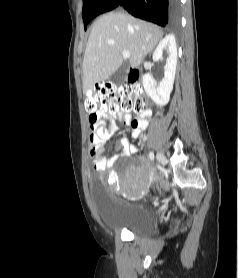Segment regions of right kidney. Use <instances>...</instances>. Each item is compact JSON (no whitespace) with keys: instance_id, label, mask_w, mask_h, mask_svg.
I'll return each mask as SVG.
<instances>
[{"instance_id":"ca27d5eb","label":"right kidney","mask_w":238,"mask_h":278,"mask_svg":"<svg viewBox=\"0 0 238 278\" xmlns=\"http://www.w3.org/2000/svg\"><path fill=\"white\" fill-rule=\"evenodd\" d=\"M166 49L169 52V57L167 58L164 67L163 80L160 83H157L151 74L147 73L143 76V87L145 92L158 105L167 104L173 90L177 65V47L173 35H168L160 41L153 53V61L156 62L162 60L163 51Z\"/></svg>"}]
</instances>
